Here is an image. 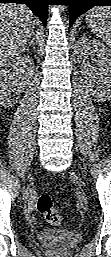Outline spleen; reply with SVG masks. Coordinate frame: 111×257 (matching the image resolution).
<instances>
[{
	"mask_svg": "<svg viewBox=\"0 0 111 257\" xmlns=\"http://www.w3.org/2000/svg\"><path fill=\"white\" fill-rule=\"evenodd\" d=\"M86 20L95 35L111 48V7H95L91 9Z\"/></svg>",
	"mask_w": 111,
	"mask_h": 257,
	"instance_id": "spleen-1",
	"label": "spleen"
}]
</instances>
